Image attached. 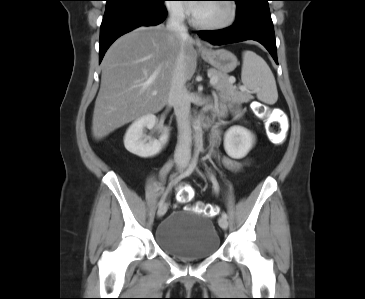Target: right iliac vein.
I'll list each match as a JSON object with an SVG mask.
<instances>
[{"label": "right iliac vein", "instance_id": "63e3f726", "mask_svg": "<svg viewBox=\"0 0 365 299\" xmlns=\"http://www.w3.org/2000/svg\"><path fill=\"white\" fill-rule=\"evenodd\" d=\"M186 164L187 162L185 159H179L177 163L178 170L183 171L186 167ZM167 209H168V204L167 203L162 204L157 211V216L158 217L164 216L165 213L167 212Z\"/></svg>", "mask_w": 365, "mask_h": 299}]
</instances>
